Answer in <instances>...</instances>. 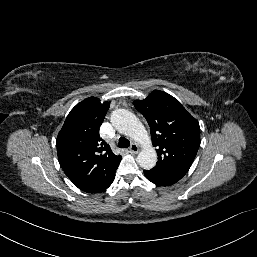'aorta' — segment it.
Masks as SVG:
<instances>
[{
    "instance_id": "obj_1",
    "label": "aorta",
    "mask_w": 257,
    "mask_h": 257,
    "mask_svg": "<svg viewBox=\"0 0 257 257\" xmlns=\"http://www.w3.org/2000/svg\"><path fill=\"white\" fill-rule=\"evenodd\" d=\"M111 123L117 131L131 137L142 146L137 163L143 169H152L156 165L157 154L147 130L139 119L126 109H117L111 114Z\"/></svg>"
}]
</instances>
